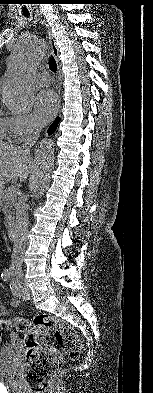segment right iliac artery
Masks as SVG:
<instances>
[{"label":"right iliac artery","mask_w":153,"mask_h":393,"mask_svg":"<svg viewBox=\"0 0 153 393\" xmlns=\"http://www.w3.org/2000/svg\"><path fill=\"white\" fill-rule=\"evenodd\" d=\"M1 277L4 281H8L12 277V273L9 270H4L1 274Z\"/></svg>","instance_id":"1"}]
</instances>
